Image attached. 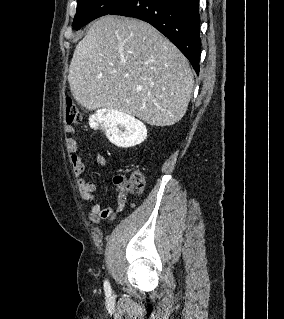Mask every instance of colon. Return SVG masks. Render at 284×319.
Returning <instances> with one entry per match:
<instances>
[{
  "label": "colon",
  "mask_w": 284,
  "mask_h": 319,
  "mask_svg": "<svg viewBox=\"0 0 284 319\" xmlns=\"http://www.w3.org/2000/svg\"><path fill=\"white\" fill-rule=\"evenodd\" d=\"M66 122L68 125L78 124L82 120V114L71 98L66 100ZM144 176L141 172H134L130 178L118 176L115 185L121 193L139 194L144 188Z\"/></svg>",
  "instance_id": "obj_1"
}]
</instances>
